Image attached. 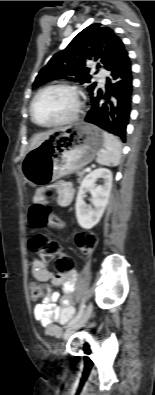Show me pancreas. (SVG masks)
Listing matches in <instances>:
<instances>
[{
	"instance_id": "cf45deb5",
	"label": "pancreas",
	"mask_w": 155,
	"mask_h": 395,
	"mask_svg": "<svg viewBox=\"0 0 155 395\" xmlns=\"http://www.w3.org/2000/svg\"><path fill=\"white\" fill-rule=\"evenodd\" d=\"M84 174H85V171H78L77 172V175L79 176V180H81V178H83Z\"/></svg>"
}]
</instances>
